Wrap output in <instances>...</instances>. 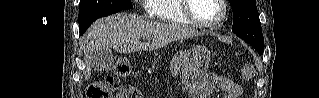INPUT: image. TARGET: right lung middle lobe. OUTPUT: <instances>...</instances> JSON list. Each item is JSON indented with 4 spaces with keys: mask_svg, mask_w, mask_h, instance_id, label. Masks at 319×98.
Listing matches in <instances>:
<instances>
[{
    "mask_svg": "<svg viewBox=\"0 0 319 98\" xmlns=\"http://www.w3.org/2000/svg\"><path fill=\"white\" fill-rule=\"evenodd\" d=\"M132 7L130 0H80L79 25Z\"/></svg>",
    "mask_w": 319,
    "mask_h": 98,
    "instance_id": "1",
    "label": "right lung middle lobe"
}]
</instances>
